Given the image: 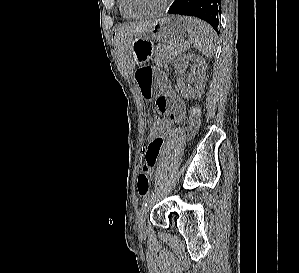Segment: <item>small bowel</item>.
<instances>
[{
    "instance_id": "small-bowel-1",
    "label": "small bowel",
    "mask_w": 299,
    "mask_h": 273,
    "mask_svg": "<svg viewBox=\"0 0 299 273\" xmlns=\"http://www.w3.org/2000/svg\"><path fill=\"white\" fill-rule=\"evenodd\" d=\"M157 107L159 111L167 117L169 125L173 122L181 121L185 114V104L183 100L176 97L174 94L159 98L157 100ZM163 142V136L154 140H148L147 147L143 152L145 163L142 168V171L147 175L151 176L154 173V168L157 164Z\"/></svg>"
}]
</instances>
